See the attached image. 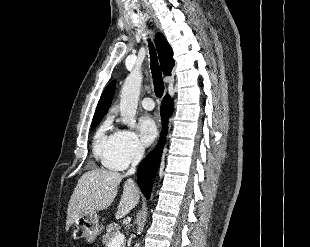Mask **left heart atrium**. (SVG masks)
I'll return each mask as SVG.
<instances>
[{
  "mask_svg": "<svg viewBox=\"0 0 310 247\" xmlns=\"http://www.w3.org/2000/svg\"><path fill=\"white\" fill-rule=\"evenodd\" d=\"M158 133L155 121L150 116H144L140 121V135L145 145L151 144Z\"/></svg>",
  "mask_w": 310,
  "mask_h": 247,
  "instance_id": "obj_1",
  "label": "left heart atrium"
}]
</instances>
